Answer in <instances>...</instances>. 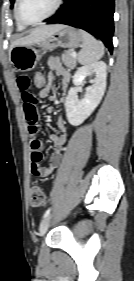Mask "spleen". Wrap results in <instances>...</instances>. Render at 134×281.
<instances>
[{"instance_id": "obj_1", "label": "spleen", "mask_w": 134, "mask_h": 281, "mask_svg": "<svg viewBox=\"0 0 134 281\" xmlns=\"http://www.w3.org/2000/svg\"><path fill=\"white\" fill-rule=\"evenodd\" d=\"M82 35V49L78 54V61L82 65L94 63L102 58L105 47L101 41L96 40L92 35L86 31L81 30Z\"/></svg>"}]
</instances>
